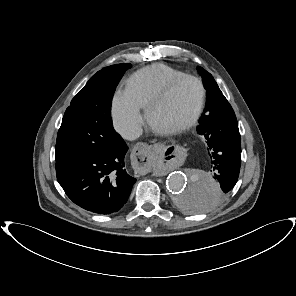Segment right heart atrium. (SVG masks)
I'll return each instance as SVG.
<instances>
[{"label": "right heart atrium", "instance_id": "right-heart-atrium-1", "mask_svg": "<svg viewBox=\"0 0 296 296\" xmlns=\"http://www.w3.org/2000/svg\"><path fill=\"white\" fill-rule=\"evenodd\" d=\"M111 114L116 130L125 138H134L143 123L140 106L127 91L118 90L112 98Z\"/></svg>", "mask_w": 296, "mask_h": 296}]
</instances>
